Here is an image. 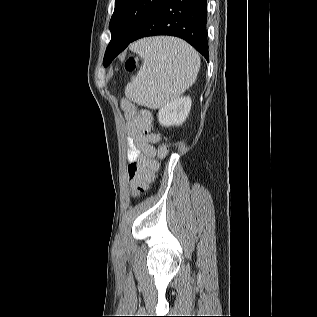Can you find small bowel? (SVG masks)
<instances>
[{
	"label": "small bowel",
	"mask_w": 317,
	"mask_h": 317,
	"mask_svg": "<svg viewBox=\"0 0 317 317\" xmlns=\"http://www.w3.org/2000/svg\"><path fill=\"white\" fill-rule=\"evenodd\" d=\"M121 108L126 119V131L128 137L127 159L130 163L138 160L141 156L154 157L156 154L155 146L161 138L156 133H144L138 129L134 123L137 113L136 106L127 99L121 100Z\"/></svg>",
	"instance_id": "c3829d8e"
}]
</instances>
